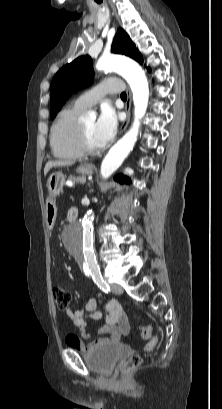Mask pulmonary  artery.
<instances>
[{
	"label": "pulmonary artery",
	"mask_w": 222,
	"mask_h": 409,
	"mask_svg": "<svg viewBox=\"0 0 222 409\" xmlns=\"http://www.w3.org/2000/svg\"><path fill=\"white\" fill-rule=\"evenodd\" d=\"M123 89L121 83H112L107 79L80 95L76 104L83 109H90L107 94H117Z\"/></svg>",
	"instance_id": "pulmonary-artery-1"
}]
</instances>
